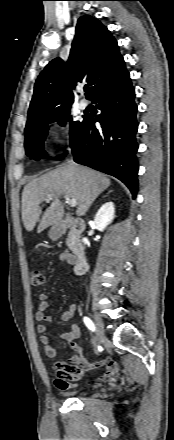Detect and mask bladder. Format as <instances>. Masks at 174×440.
Returning a JSON list of instances; mask_svg holds the SVG:
<instances>
[{"label":"bladder","mask_w":174,"mask_h":440,"mask_svg":"<svg viewBox=\"0 0 174 440\" xmlns=\"http://www.w3.org/2000/svg\"><path fill=\"white\" fill-rule=\"evenodd\" d=\"M74 392H68V394H73Z\"/></svg>","instance_id":"obj_1"}]
</instances>
